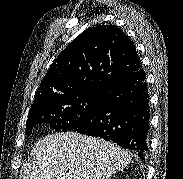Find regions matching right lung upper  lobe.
<instances>
[{
	"label": "right lung upper lobe",
	"mask_w": 183,
	"mask_h": 179,
	"mask_svg": "<svg viewBox=\"0 0 183 179\" xmlns=\"http://www.w3.org/2000/svg\"><path fill=\"white\" fill-rule=\"evenodd\" d=\"M141 67L134 43L115 25L90 27L50 66L32 106L57 97L100 94L117 79Z\"/></svg>",
	"instance_id": "right-lung-upper-lobe-1"
}]
</instances>
